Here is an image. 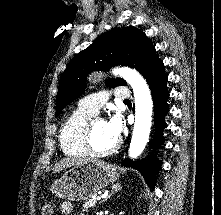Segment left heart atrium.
Listing matches in <instances>:
<instances>
[{
    "instance_id": "obj_1",
    "label": "left heart atrium",
    "mask_w": 221,
    "mask_h": 215,
    "mask_svg": "<svg viewBox=\"0 0 221 215\" xmlns=\"http://www.w3.org/2000/svg\"><path fill=\"white\" fill-rule=\"evenodd\" d=\"M106 124L110 135L117 140L122 130L120 119L114 116Z\"/></svg>"
}]
</instances>
